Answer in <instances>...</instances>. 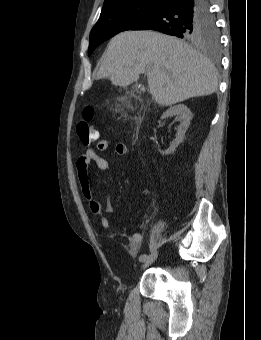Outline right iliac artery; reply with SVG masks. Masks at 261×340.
I'll return each mask as SVG.
<instances>
[{
	"instance_id": "1",
	"label": "right iliac artery",
	"mask_w": 261,
	"mask_h": 340,
	"mask_svg": "<svg viewBox=\"0 0 261 340\" xmlns=\"http://www.w3.org/2000/svg\"><path fill=\"white\" fill-rule=\"evenodd\" d=\"M148 258V255L147 254H142L140 257H139V261L141 262H145Z\"/></svg>"
}]
</instances>
